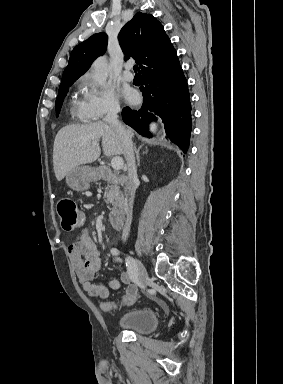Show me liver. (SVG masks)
I'll list each match as a JSON object with an SVG mask.
<instances>
[{"instance_id": "6515ba94", "label": "liver", "mask_w": 283, "mask_h": 384, "mask_svg": "<svg viewBox=\"0 0 283 384\" xmlns=\"http://www.w3.org/2000/svg\"><path fill=\"white\" fill-rule=\"evenodd\" d=\"M124 130L130 138H133L131 128ZM100 138L105 156L124 154L119 132L108 122L72 124L59 130L53 146V166L58 182H61L72 168L81 164H92L98 160L101 154Z\"/></svg>"}]
</instances>
